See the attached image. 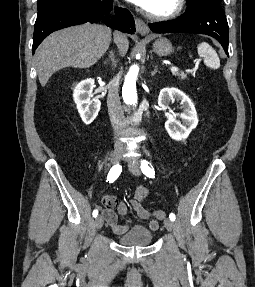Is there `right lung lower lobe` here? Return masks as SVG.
<instances>
[{"label":"right lung lower lobe","mask_w":255,"mask_h":287,"mask_svg":"<svg viewBox=\"0 0 255 287\" xmlns=\"http://www.w3.org/2000/svg\"><path fill=\"white\" fill-rule=\"evenodd\" d=\"M113 5L104 12H97L87 7L65 8L53 10L37 17L34 26L33 49L34 53L38 45L52 32L69 26L104 22L108 27L119 31L133 34L135 29L134 18L127 9L116 7V15L110 16L108 13Z\"/></svg>","instance_id":"1"}]
</instances>
